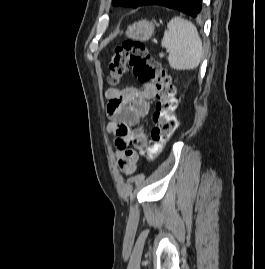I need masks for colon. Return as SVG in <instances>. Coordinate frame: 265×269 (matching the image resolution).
<instances>
[{
  "instance_id": "5ec220e1",
  "label": "colon",
  "mask_w": 265,
  "mask_h": 269,
  "mask_svg": "<svg viewBox=\"0 0 265 269\" xmlns=\"http://www.w3.org/2000/svg\"><path fill=\"white\" fill-rule=\"evenodd\" d=\"M108 81L112 86L120 84L126 73L132 74L143 83H152L156 88V108L153 113L154 126L150 143L145 150L149 159L156 157L173 136L177 122L176 88L167 70L148 52L146 46L138 41L127 40L118 45L109 61ZM118 134L127 135L128 129L121 126Z\"/></svg>"
}]
</instances>
